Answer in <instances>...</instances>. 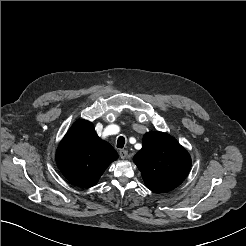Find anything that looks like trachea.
<instances>
[{
	"label": "trachea",
	"mask_w": 246,
	"mask_h": 246,
	"mask_svg": "<svg viewBox=\"0 0 246 246\" xmlns=\"http://www.w3.org/2000/svg\"><path fill=\"white\" fill-rule=\"evenodd\" d=\"M125 144V138L123 136H120L117 140V147L123 148Z\"/></svg>",
	"instance_id": "3493384b"
}]
</instances>
